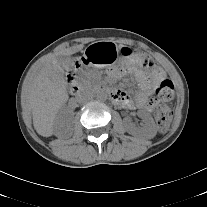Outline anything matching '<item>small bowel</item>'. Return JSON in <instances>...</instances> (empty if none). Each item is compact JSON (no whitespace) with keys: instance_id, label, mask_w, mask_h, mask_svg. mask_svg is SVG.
Listing matches in <instances>:
<instances>
[{"instance_id":"c3829d8e","label":"small bowel","mask_w":207,"mask_h":207,"mask_svg":"<svg viewBox=\"0 0 207 207\" xmlns=\"http://www.w3.org/2000/svg\"><path fill=\"white\" fill-rule=\"evenodd\" d=\"M109 74L112 78L117 79L123 76L124 71L120 69H111L109 71ZM135 76L140 87V90L136 95L135 101L131 100L126 93L120 90L115 91L116 98L114 99V101L118 105L127 109H133L135 107H138L145 110H151L154 105L151 99L153 92L159 82H161L165 78V73L159 68L156 72L151 74H147L142 70H136Z\"/></svg>"}]
</instances>
